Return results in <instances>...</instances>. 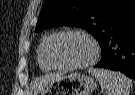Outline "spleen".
<instances>
[{
  "label": "spleen",
  "mask_w": 135,
  "mask_h": 95,
  "mask_svg": "<svg viewBox=\"0 0 135 95\" xmlns=\"http://www.w3.org/2000/svg\"><path fill=\"white\" fill-rule=\"evenodd\" d=\"M88 72L98 80L105 95H130L132 81L124 74L94 68H89Z\"/></svg>",
  "instance_id": "1"
}]
</instances>
